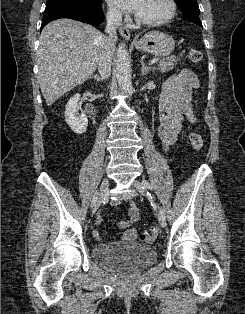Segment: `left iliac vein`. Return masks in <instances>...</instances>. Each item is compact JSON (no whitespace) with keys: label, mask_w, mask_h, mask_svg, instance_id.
<instances>
[{"label":"left iliac vein","mask_w":245,"mask_h":314,"mask_svg":"<svg viewBox=\"0 0 245 314\" xmlns=\"http://www.w3.org/2000/svg\"><path fill=\"white\" fill-rule=\"evenodd\" d=\"M133 187L141 194L147 196L145 188H143L142 183L138 180H134L132 183ZM158 220L161 227H166V221L161 213L158 214Z\"/></svg>","instance_id":"1"}]
</instances>
